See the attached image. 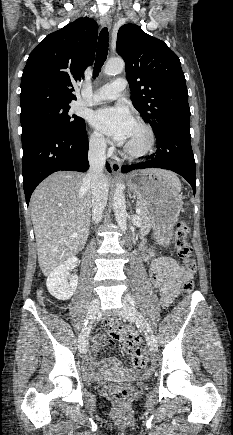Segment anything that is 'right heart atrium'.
<instances>
[{
    "mask_svg": "<svg viewBox=\"0 0 233 435\" xmlns=\"http://www.w3.org/2000/svg\"><path fill=\"white\" fill-rule=\"evenodd\" d=\"M89 147L96 153H102L106 149V139L97 131H92L89 135Z\"/></svg>",
    "mask_w": 233,
    "mask_h": 435,
    "instance_id": "right-heart-atrium-1",
    "label": "right heart atrium"
}]
</instances>
